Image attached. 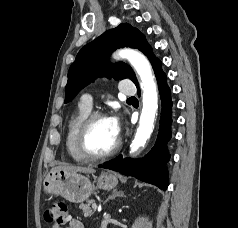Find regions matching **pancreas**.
Masks as SVG:
<instances>
[{"instance_id":"pancreas-1","label":"pancreas","mask_w":238,"mask_h":228,"mask_svg":"<svg viewBox=\"0 0 238 228\" xmlns=\"http://www.w3.org/2000/svg\"><path fill=\"white\" fill-rule=\"evenodd\" d=\"M94 200H88L87 203H82L79 205V208L83 211L85 217H91L94 214V211L91 209L90 204H93Z\"/></svg>"}]
</instances>
